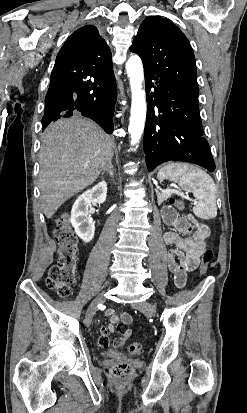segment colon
<instances>
[{
	"instance_id": "1",
	"label": "colon",
	"mask_w": 247,
	"mask_h": 413,
	"mask_svg": "<svg viewBox=\"0 0 247 413\" xmlns=\"http://www.w3.org/2000/svg\"><path fill=\"white\" fill-rule=\"evenodd\" d=\"M176 208L182 207V202L176 199L168 200ZM56 242L59 245L60 258L58 262L49 268L46 286L53 290L59 297L66 298L70 295V287L77 282V261L78 246L77 237L73 232L69 219L66 215L59 216L56 220L54 230ZM213 251L206 249L201 256L200 271L206 273L209 270V263L213 260ZM130 353L136 354L140 351L141 345L138 342H131L128 346ZM133 369L129 364H119L112 369L114 381H131Z\"/></svg>"
}]
</instances>
